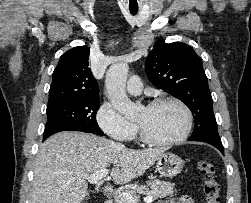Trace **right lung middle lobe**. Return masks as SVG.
Listing matches in <instances>:
<instances>
[{"mask_svg":"<svg viewBox=\"0 0 251 203\" xmlns=\"http://www.w3.org/2000/svg\"><path fill=\"white\" fill-rule=\"evenodd\" d=\"M99 107L98 98L81 99L47 107L48 119L43 136L69 130L103 135L96 121Z\"/></svg>","mask_w":251,"mask_h":203,"instance_id":"dd1d6c3e","label":"right lung middle lobe"}]
</instances>
